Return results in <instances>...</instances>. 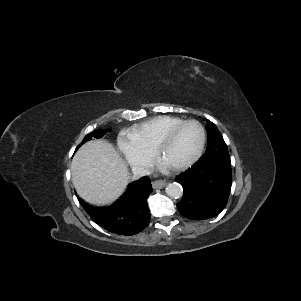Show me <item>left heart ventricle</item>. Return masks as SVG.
<instances>
[{"mask_svg": "<svg viewBox=\"0 0 301 301\" xmlns=\"http://www.w3.org/2000/svg\"><path fill=\"white\" fill-rule=\"evenodd\" d=\"M201 138L197 125H185L176 136L164 146L161 162L166 166H175L189 160L196 152Z\"/></svg>", "mask_w": 301, "mask_h": 301, "instance_id": "left-heart-ventricle-1", "label": "left heart ventricle"}]
</instances>
